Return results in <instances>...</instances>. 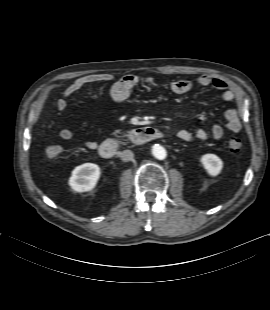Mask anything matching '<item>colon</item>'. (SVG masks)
I'll return each mask as SVG.
<instances>
[{
	"instance_id": "5ec220e1",
	"label": "colon",
	"mask_w": 270,
	"mask_h": 310,
	"mask_svg": "<svg viewBox=\"0 0 270 310\" xmlns=\"http://www.w3.org/2000/svg\"><path fill=\"white\" fill-rule=\"evenodd\" d=\"M229 148L232 152L238 153L242 150V141L237 137L229 140ZM63 155V148L59 145H51L46 149V157L50 161H59Z\"/></svg>"
}]
</instances>
